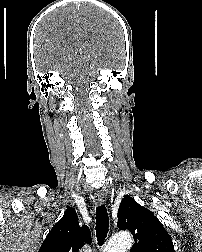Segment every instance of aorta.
I'll return each instance as SVG.
<instances>
[{
    "mask_svg": "<svg viewBox=\"0 0 202 252\" xmlns=\"http://www.w3.org/2000/svg\"><path fill=\"white\" fill-rule=\"evenodd\" d=\"M132 245L131 235L127 232H122L110 239L103 252H127Z\"/></svg>",
    "mask_w": 202,
    "mask_h": 252,
    "instance_id": "1",
    "label": "aorta"
}]
</instances>
